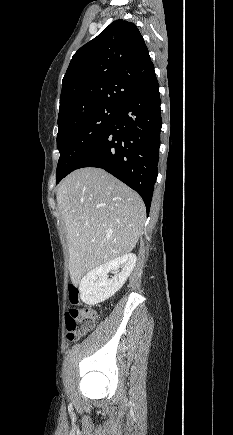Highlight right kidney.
Returning a JSON list of instances; mask_svg holds the SVG:
<instances>
[{
	"instance_id": "ca27d5eb",
	"label": "right kidney",
	"mask_w": 233,
	"mask_h": 435,
	"mask_svg": "<svg viewBox=\"0 0 233 435\" xmlns=\"http://www.w3.org/2000/svg\"><path fill=\"white\" fill-rule=\"evenodd\" d=\"M136 259L135 254H125L89 271L79 283L81 300L92 306L112 297L130 276ZM109 272L114 274L110 279Z\"/></svg>"
}]
</instances>
